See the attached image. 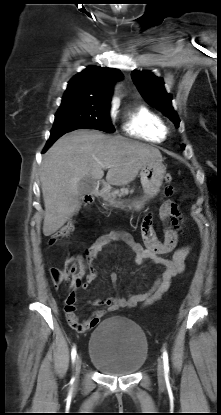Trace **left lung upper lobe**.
Masks as SVG:
<instances>
[{
    "label": "left lung upper lobe",
    "instance_id": "obj_1",
    "mask_svg": "<svg viewBox=\"0 0 221 415\" xmlns=\"http://www.w3.org/2000/svg\"><path fill=\"white\" fill-rule=\"evenodd\" d=\"M131 77L142 97L170 118L176 127H179L180 120L172 107V96L164 88L163 79L156 77L150 71H133ZM181 147L184 149V145Z\"/></svg>",
    "mask_w": 221,
    "mask_h": 415
}]
</instances>
